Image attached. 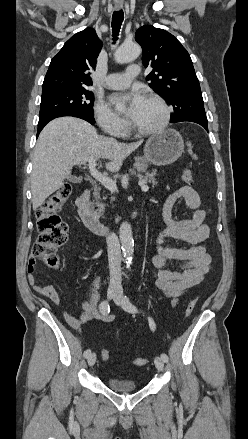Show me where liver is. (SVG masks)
<instances>
[{"label":"liver","mask_w":248,"mask_h":439,"mask_svg":"<svg viewBox=\"0 0 248 439\" xmlns=\"http://www.w3.org/2000/svg\"><path fill=\"white\" fill-rule=\"evenodd\" d=\"M142 141L120 143L97 134L88 122L74 117H60L49 122L37 140L31 173L33 209L36 210L63 184L74 165L90 159H108L106 169L118 172L126 159Z\"/></svg>","instance_id":"obj_1"}]
</instances>
